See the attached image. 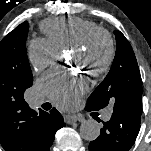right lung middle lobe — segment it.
Here are the masks:
<instances>
[{
    "mask_svg": "<svg viewBox=\"0 0 151 151\" xmlns=\"http://www.w3.org/2000/svg\"><path fill=\"white\" fill-rule=\"evenodd\" d=\"M29 24L24 22L0 42V96L24 98L32 86V72L27 58L26 39Z\"/></svg>",
    "mask_w": 151,
    "mask_h": 151,
    "instance_id": "obj_1",
    "label": "right lung middle lobe"
}]
</instances>
